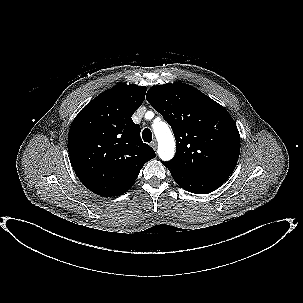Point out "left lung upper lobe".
Masks as SVG:
<instances>
[{"mask_svg": "<svg viewBox=\"0 0 303 303\" xmlns=\"http://www.w3.org/2000/svg\"><path fill=\"white\" fill-rule=\"evenodd\" d=\"M146 98L175 135V157L163 162L168 169L188 175L234 171L240 135L224 107L181 82L151 87Z\"/></svg>", "mask_w": 303, "mask_h": 303, "instance_id": "1", "label": "left lung upper lobe"}]
</instances>
